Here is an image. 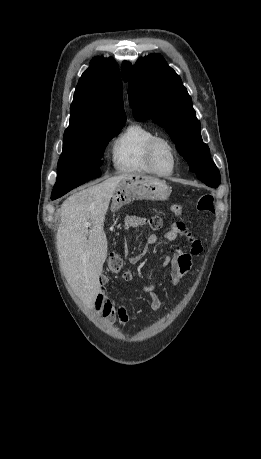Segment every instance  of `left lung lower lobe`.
Returning a JSON list of instances; mask_svg holds the SVG:
<instances>
[{
	"mask_svg": "<svg viewBox=\"0 0 261 459\" xmlns=\"http://www.w3.org/2000/svg\"><path fill=\"white\" fill-rule=\"evenodd\" d=\"M208 186H209V185H208ZM210 187L216 188L215 186H210Z\"/></svg>",
	"mask_w": 261,
	"mask_h": 459,
	"instance_id": "obj_1",
	"label": "left lung lower lobe"
}]
</instances>
